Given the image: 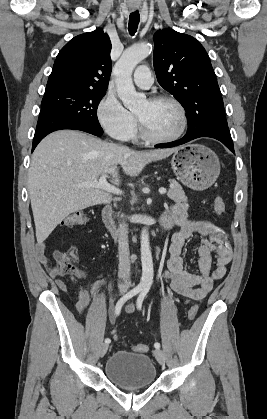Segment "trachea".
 I'll return each mask as SVG.
<instances>
[{"mask_svg": "<svg viewBox=\"0 0 267 419\" xmlns=\"http://www.w3.org/2000/svg\"><path fill=\"white\" fill-rule=\"evenodd\" d=\"M139 21H140V14H139V11L136 10L132 12L129 16L128 30H129L130 35L133 36L136 33L138 25H139Z\"/></svg>", "mask_w": 267, "mask_h": 419, "instance_id": "obj_1", "label": "trachea"}]
</instances>
